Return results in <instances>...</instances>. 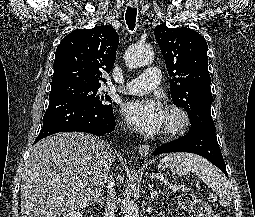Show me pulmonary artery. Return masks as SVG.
Segmentation results:
<instances>
[{
    "mask_svg": "<svg viewBox=\"0 0 255 217\" xmlns=\"http://www.w3.org/2000/svg\"><path fill=\"white\" fill-rule=\"evenodd\" d=\"M159 83L160 70L156 67H150L138 77L128 81L125 85L115 86V88L122 93L140 95L153 90Z\"/></svg>",
    "mask_w": 255,
    "mask_h": 217,
    "instance_id": "1",
    "label": "pulmonary artery"
}]
</instances>
